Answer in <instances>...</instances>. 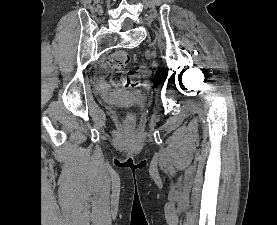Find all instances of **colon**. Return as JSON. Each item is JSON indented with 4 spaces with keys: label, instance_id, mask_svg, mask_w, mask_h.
I'll use <instances>...</instances> for the list:
<instances>
[{
    "label": "colon",
    "instance_id": "obj_1",
    "mask_svg": "<svg viewBox=\"0 0 277 225\" xmlns=\"http://www.w3.org/2000/svg\"><path fill=\"white\" fill-rule=\"evenodd\" d=\"M131 62V55L128 52L120 51L114 53L109 60L111 75L105 79L103 87L109 91L134 89L138 87L144 74L137 70H125ZM132 121V116L127 117Z\"/></svg>",
    "mask_w": 277,
    "mask_h": 225
}]
</instances>
